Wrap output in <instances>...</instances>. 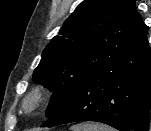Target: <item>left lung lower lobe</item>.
I'll list each match as a JSON object with an SVG mask.
<instances>
[{
  "instance_id": "0a47b994",
  "label": "left lung lower lobe",
  "mask_w": 151,
  "mask_h": 131,
  "mask_svg": "<svg viewBox=\"0 0 151 131\" xmlns=\"http://www.w3.org/2000/svg\"><path fill=\"white\" fill-rule=\"evenodd\" d=\"M140 16L134 49L118 67L86 76L41 127L96 121L120 131H149L151 49Z\"/></svg>"
}]
</instances>
